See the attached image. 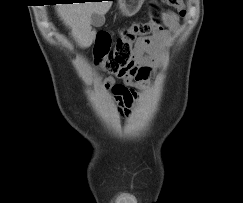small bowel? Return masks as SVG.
<instances>
[{"mask_svg":"<svg viewBox=\"0 0 243 203\" xmlns=\"http://www.w3.org/2000/svg\"><path fill=\"white\" fill-rule=\"evenodd\" d=\"M178 27L176 15L167 12L162 27L158 28L151 37L137 41L130 67L120 74L105 78L104 86L112 92L117 111L122 118H130L133 115L135 102L139 97L130 85L133 83L138 87L149 85L153 67L163 59L171 35L178 30ZM117 78L122 79L123 83H116Z\"/></svg>","mask_w":243,"mask_h":203,"instance_id":"1","label":"small bowel"}]
</instances>
